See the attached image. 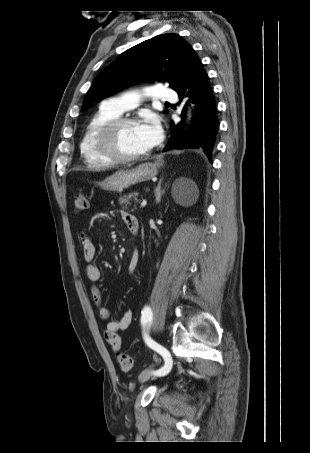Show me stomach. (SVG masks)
Masks as SVG:
<instances>
[{
    "instance_id": "obj_1",
    "label": "stomach",
    "mask_w": 310,
    "mask_h": 453,
    "mask_svg": "<svg viewBox=\"0 0 310 453\" xmlns=\"http://www.w3.org/2000/svg\"><path fill=\"white\" fill-rule=\"evenodd\" d=\"M162 161L146 162L130 170H119L100 183L105 190L121 192L139 182L147 181L157 175Z\"/></svg>"
}]
</instances>
